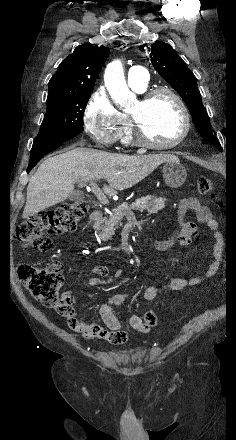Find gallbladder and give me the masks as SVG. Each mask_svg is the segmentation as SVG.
<instances>
[{
    "label": "gallbladder",
    "instance_id": "obj_1",
    "mask_svg": "<svg viewBox=\"0 0 236 440\" xmlns=\"http://www.w3.org/2000/svg\"><path fill=\"white\" fill-rule=\"evenodd\" d=\"M82 197H83L82 193L77 191L71 194L70 199L74 201H80Z\"/></svg>",
    "mask_w": 236,
    "mask_h": 440
}]
</instances>
